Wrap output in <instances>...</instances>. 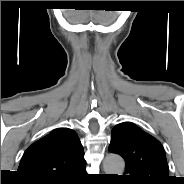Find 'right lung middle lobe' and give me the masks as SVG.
<instances>
[{
  "label": "right lung middle lobe",
  "instance_id": "obj_1",
  "mask_svg": "<svg viewBox=\"0 0 184 184\" xmlns=\"http://www.w3.org/2000/svg\"><path fill=\"white\" fill-rule=\"evenodd\" d=\"M38 184H58V183H38Z\"/></svg>",
  "mask_w": 184,
  "mask_h": 184
}]
</instances>
